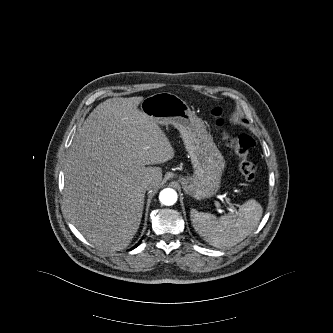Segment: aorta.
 <instances>
[{
    "instance_id": "aorta-1",
    "label": "aorta",
    "mask_w": 333,
    "mask_h": 333,
    "mask_svg": "<svg viewBox=\"0 0 333 333\" xmlns=\"http://www.w3.org/2000/svg\"><path fill=\"white\" fill-rule=\"evenodd\" d=\"M177 192L171 188L163 189L159 194V200L163 205L171 206L177 201Z\"/></svg>"
}]
</instances>
